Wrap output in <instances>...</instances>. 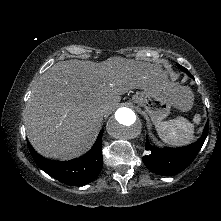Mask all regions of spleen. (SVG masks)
I'll use <instances>...</instances> for the list:
<instances>
[{"mask_svg":"<svg viewBox=\"0 0 221 221\" xmlns=\"http://www.w3.org/2000/svg\"><path fill=\"white\" fill-rule=\"evenodd\" d=\"M200 122L199 115L194 117V123ZM155 128L161 140L169 145H186L194 139V125L184 117L155 123Z\"/></svg>","mask_w":221,"mask_h":221,"instance_id":"3e777b00","label":"spleen"}]
</instances>
